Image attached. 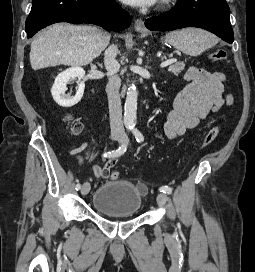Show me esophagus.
<instances>
[{
	"label": "esophagus",
	"instance_id": "esophagus-1",
	"mask_svg": "<svg viewBox=\"0 0 255 272\" xmlns=\"http://www.w3.org/2000/svg\"><path fill=\"white\" fill-rule=\"evenodd\" d=\"M134 28L138 32H146L144 21L142 19H136L135 20Z\"/></svg>",
	"mask_w": 255,
	"mask_h": 272
}]
</instances>
